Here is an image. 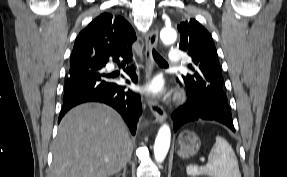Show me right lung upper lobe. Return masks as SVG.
Wrapping results in <instances>:
<instances>
[{"label": "right lung upper lobe", "mask_w": 287, "mask_h": 177, "mask_svg": "<svg viewBox=\"0 0 287 177\" xmlns=\"http://www.w3.org/2000/svg\"><path fill=\"white\" fill-rule=\"evenodd\" d=\"M136 35L131 25L121 16L103 13L83 29L75 40L70 66L90 59L95 52L121 48L131 52Z\"/></svg>", "instance_id": "1"}]
</instances>
